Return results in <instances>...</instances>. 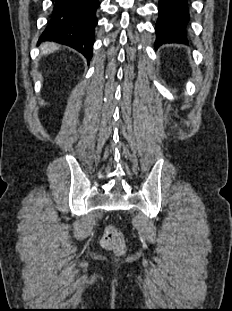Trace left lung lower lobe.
Returning a JSON list of instances; mask_svg holds the SVG:
<instances>
[{
	"mask_svg": "<svg viewBox=\"0 0 232 311\" xmlns=\"http://www.w3.org/2000/svg\"><path fill=\"white\" fill-rule=\"evenodd\" d=\"M158 12L155 47L165 43L186 42L190 19L188 0H159Z\"/></svg>",
	"mask_w": 232,
	"mask_h": 311,
	"instance_id": "obj_1",
	"label": "left lung lower lobe"
}]
</instances>
